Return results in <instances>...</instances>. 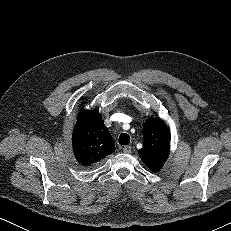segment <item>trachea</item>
I'll use <instances>...</instances> for the list:
<instances>
[{"label":"trachea","instance_id":"trachea-1","mask_svg":"<svg viewBox=\"0 0 231 231\" xmlns=\"http://www.w3.org/2000/svg\"><path fill=\"white\" fill-rule=\"evenodd\" d=\"M130 143V136L127 133H122L119 136V144L128 145Z\"/></svg>","mask_w":231,"mask_h":231}]
</instances>
